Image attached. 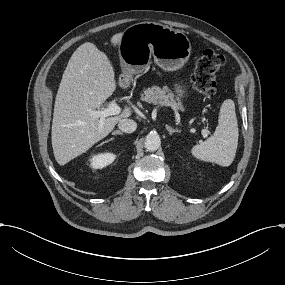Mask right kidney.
Instances as JSON below:
<instances>
[{
	"mask_svg": "<svg viewBox=\"0 0 285 285\" xmlns=\"http://www.w3.org/2000/svg\"><path fill=\"white\" fill-rule=\"evenodd\" d=\"M116 158L113 153H101L94 155L90 158V165L94 169H101L111 164Z\"/></svg>",
	"mask_w": 285,
	"mask_h": 285,
	"instance_id": "1",
	"label": "right kidney"
}]
</instances>
